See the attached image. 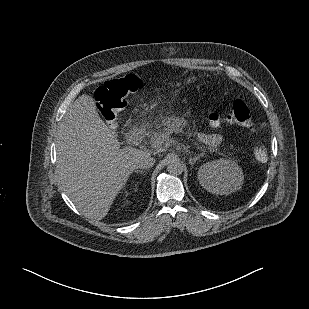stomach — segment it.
<instances>
[{
	"label": "stomach",
	"mask_w": 309,
	"mask_h": 309,
	"mask_svg": "<svg viewBox=\"0 0 309 309\" xmlns=\"http://www.w3.org/2000/svg\"><path fill=\"white\" fill-rule=\"evenodd\" d=\"M166 125L171 128V127H183V125L185 124V120L183 118H179V117H170L166 120Z\"/></svg>",
	"instance_id": "obj_1"
}]
</instances>
